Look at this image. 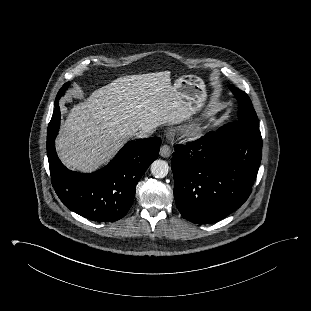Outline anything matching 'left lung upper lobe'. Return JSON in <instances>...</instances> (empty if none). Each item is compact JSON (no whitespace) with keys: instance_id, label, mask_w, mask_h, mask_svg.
Here are the masks:
<instances>
[{"instance_id":"1","label":"left lung upper lobe","mask_w":311,"mask_h":311,"mask_svg":"<svg viewBox=\"0 0 311 311\" xmlns=\"http://www.w3.org/2000/svg\"><path fill=\"white\" fill-rule=\"evenodd\" d=\"M239 102L238 121L258 127V118L249 96L234 86H229Z\"/></svg>"}]
</instances>
